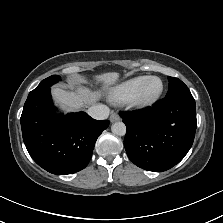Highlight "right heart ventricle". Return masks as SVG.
I'll use <instances>...</instances> for the list:
<instances>
[{
	"mask_svg": "<svg viewBox=\"0 0 223 223\" xmlns=\"http://www.w3.org/2000/svg\"><path fill=\"white\" fill-rule=\"evenodd\" d=\"M144 76H135L114 87L109 94V100L116 105L126 103L140 86Z\"/></svg>",
	"mask_w": 223,
	"mask_h": 223,
	"instance_id": "right-heart-ventricle-1",
	"label": "right heart ventricle"
}]
</instances>
